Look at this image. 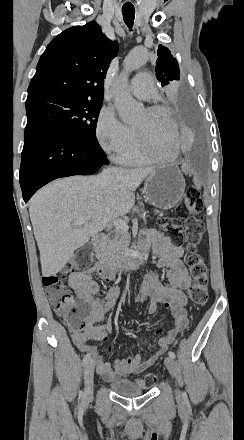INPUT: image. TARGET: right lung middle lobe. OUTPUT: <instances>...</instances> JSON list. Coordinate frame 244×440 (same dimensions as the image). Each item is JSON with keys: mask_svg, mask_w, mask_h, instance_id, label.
Instances as JSON below:
<instances>
[{"mask_svg": "<svg viewBox=\"0 0 244 440\" xmlns=\"http://www.w3.org/2000/svg\"><path fill=\"white\" fill-rule=\"evenodd\" d=\"M103 99L48 96L27 99V125L49 126L97 142L96 124Z\"/></svg>", "mask_w": 244, "mask_h": 440, "instance_id": "dd1d6c3e", "label": "right lung middle lobe"}]
</instances>
